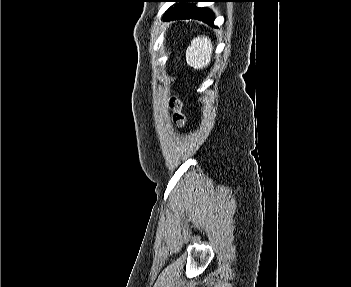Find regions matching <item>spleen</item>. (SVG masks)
Segmentation results:
<instances>
[{
  "instance_id": "spleen-1",
  "label": "spleen",
  "mask_w": 351,
  "mask_h": 287,
  "mask_svg": "<svg viewBox=\"0 0 351 287\" xmlns=\"http://www.w3.org/2000/svg\"><path fill=\"white\" fill-rule=\"evenodd\" d=\"M213 45L205 36H197L186 50V62L195 69L205 68L211 61Z\"/></svg>"
}]
</instances>
